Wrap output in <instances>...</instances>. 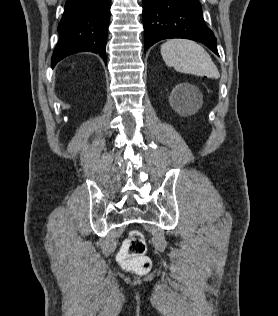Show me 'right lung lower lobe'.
<instances>
[{"mask_svg": "<svg viewBox=\"0 0 278 316\" xmlns=\"http://www.w3.org/2000/svg\"><path fill=\"white\" fill-rule=\"evenodd\" d=\"M111 0H67L58 26L59 42L52 67L64 57L78 52H94L107 62L105 49Z\"/></svg>", "mask_w": 278, "mask_h": 316, "instance_id": "98d812e1", "label": "right lung lower lobe"}]
</instances>
